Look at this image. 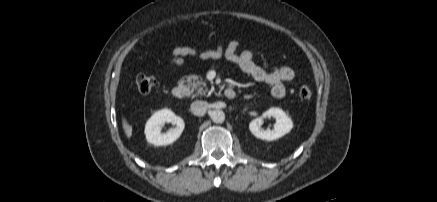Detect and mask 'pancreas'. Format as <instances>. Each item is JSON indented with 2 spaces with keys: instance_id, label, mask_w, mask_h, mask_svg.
Here are the masks:
<instances>
[{
  "instance_id": "cf45deb5",
  "label": "pancreas",
  "mask_w": 437,
  "mask_h": 202,
  "mask_svg": "<svg viewBox=\"0 0 437 202\" xmlns=\"http://www.w3.org/2000/svg\"><path fill=\"white\" fill-rule=\"evenodd\" d=\"M182 84L186 83V87L189 89V95L192 97L196 96H204L207 92V84L202 79L201 76L198 75H188L185 76L180 81ZM196 91V93H195Z\"/></svg>"
}]
</instances>
